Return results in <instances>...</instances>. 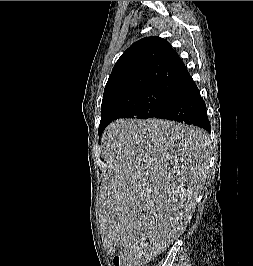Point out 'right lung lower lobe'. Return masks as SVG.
Returning a JSON list of instances; mask_svg holds the SVG:
<instances>
[{
	"instance_id": "right-lung-lower-lobe-1",
	"label": "right lung lower lobe",
	"mask_w": 253,
	"mask_h": 266,
	"mask_svg": "<svg viewBox=\"0 0 253 266\" xmlns=\"http://www.w3.org/2000/svg\"><path fill=\"white\" fill-rule=\"evenodd\" d=\"M157 118L192 124L208 132L211 130L205 102L189 73L173 84L169 103L164 113Z\"/></svg>"
}]
</instances>
